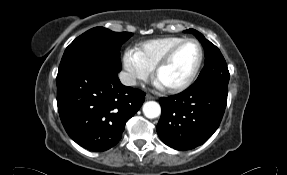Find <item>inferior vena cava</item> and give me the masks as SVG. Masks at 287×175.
I'll return each mask as SVG.
<instances>
[{
  "label": "inferior vena cava",
  "instance_id": "obj_1",
  "mask_svg": "<svg viewBox=\"0 0 287 175\" xmlns=\"http://www.w3.org/2000/svg\"><path fill=\"white\" fill-rule=\"evenodd\" d=\"M119 79L121 83L125 86H134L136 85V77L127 72H120Z\"/></svg>",
  "mask_w": 287,
  "mask_h": 175
}]
</instances>
